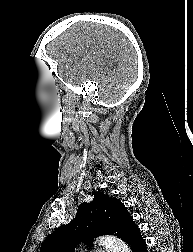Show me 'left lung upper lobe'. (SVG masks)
I'll use <instances>...</instances> for the list:
<instances>
[{
  "label": "left lung upper lobe",
  "instance_id": "obj_1",
  "mask_svg": "<svg viewBox=\"0 0 193 252\" xmlns=\"http://www.w3.org/2000/svg\"><path fill=\"white\" fill-rule=\"evenodd\" d=\"M135 227L132 216L121 201L95 192L90 203L78 206L75 219L58 227L45 239L40 252H75L80 236L88 245H91L92 238L101 235H114L128 243Z\"/></svg>",
  "mask_w": 193,
  "mask_h": 252
}]
</instances>
